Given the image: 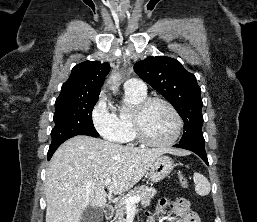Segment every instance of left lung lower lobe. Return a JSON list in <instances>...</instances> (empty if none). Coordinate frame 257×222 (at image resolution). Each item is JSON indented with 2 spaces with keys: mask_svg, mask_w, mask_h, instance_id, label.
I'll list each match as a JSON object with an SVG mask.
<instances>
[{
  "mask_svg": "<svg viewBox=\"0 0 257 222\" xmlns=\"http://www.w3.org/2000/svg\"><path fill=\"white\" fill-rule=\"evenodd\" d=\"M174 147L187 149V150H190V151L196 153L198 156H200L203 159V161L207 165H209L204 145H200V144H188V145L177 144V145H174Z\"/></svg>",
  "mask_w": 257,
  "mask_h": 222,
  "instance_id": "1",
  "label": "left lung lower lobe"
}]
</instances>
